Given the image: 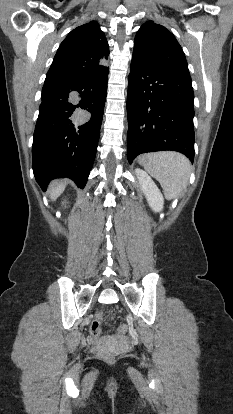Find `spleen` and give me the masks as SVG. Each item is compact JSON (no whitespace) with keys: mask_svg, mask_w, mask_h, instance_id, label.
I'll return each instance as SVG.
<instances>
[{"mask_svg":"<svg viewBox=\"0 0 233 414\" xmlns=\"http://www.w3.org/2000/svg\"><path fill=\"white\" fill-rule=\"evenodd\" d=\"M140 164L160 183L168 198H178L186 191L191 164L181 153L173 151L151 153L142 157Z\"/></svg>","mask_w":233,"mask_h":414,"instance_id":"spleen-1","label":"spleen"}]
</instances>
